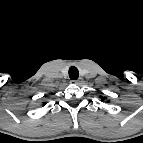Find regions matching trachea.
Listing matches in <instances>:
<instances>
[{"instance_id": "3493384b", "label": "trachea", "mask_w": 143, "mask_h": 143, "mask_svg": "<svg viewBox=\"0 0 143 143\" xmlns=\"http://www.w3.org/2000/svg\"><path fill=\"white\" fill-rule=\"evenodd\" d=\"M69 77L71 80H76L79 77V71L75 66L69 68Z\"/></svg>"}]
</instances>
